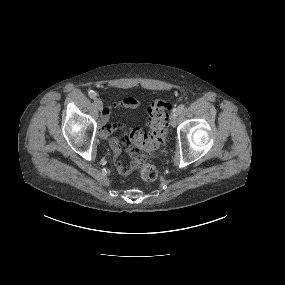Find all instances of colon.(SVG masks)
<instances>
[{"instance_id":"5ec220e1","label":"colon","mask_w":285,"mask_h":285,"mask_svg":"<svg viewBox=\"0 0 285 285\" xmlns=\"http://www.w3.org/2000/svg\"><path fill=\"white\" fill-rule=\"evenodd\" d=\"M171 106L162 99L154 100L149 108L148 128L136 127L131 130L129 140L135 147H129L132 156V168L139 171L145 181H153L157 177L154 165L146 163L145 153H156L165 142L168 129V113ZM116 130V126H113ZM113 145V141L110 142Z\"/></svg>"}]
</instances>
